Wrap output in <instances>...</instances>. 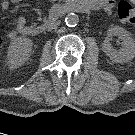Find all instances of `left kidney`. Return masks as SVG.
Masks as SVG:
<instances>
[{
  "label": "left kidney",
  "mask_w": 135,
  "mask_h": 135,
  "mask_svg": "<svg viewBox=\"0 0 135 135\" xmlns=\"http://www.w3.org/2000/svg\"><path fill=\"white\" fill-rule=\"evenodd\" d=\"M113 35L122 40V48L115 50L110 41ZM102 51L116 63H127L135 57V41L130 33L120 26H111L107 31V37L102 43Z\"/></svg>",
  "instance_id": "obj_1"
}]
</instances>
